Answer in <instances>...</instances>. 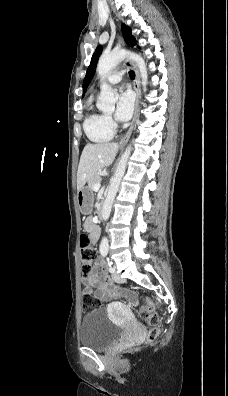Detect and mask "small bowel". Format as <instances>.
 Wrapping results in <instances>:
<instances>
[{"mask_svg":"<svg viewBox=\"0 0 228 396\" xmlns=\"http://www.w3.org/2000/svg\"><path fill=\"white\" fill-rule=\"evenodd\" d=\"M84 228L89 233L91 246H94L99 239V229L95 225L93 218H88L84 224ZM96 266L98 263L95 264ZM84 293H92L95 289V295L104 301H111L117 297L126 298L130 303L136 304V295L129 290L121 289L115 286L108 276L103 273L94 272L89 277L83 278ZM122 310H127L126 307L122 306Z\"/></svg>","mask_w":228,"mask_h":396,"instance_id":"obj_1","label":"small bowel"}]
</instances>
